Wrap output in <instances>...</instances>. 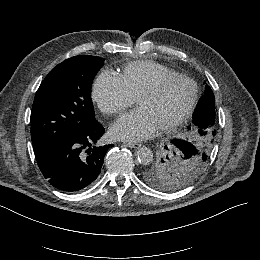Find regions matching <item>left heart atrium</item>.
Segmentation results:
<instances>
[{
	"label": "left heart atrium",
	"mask_w": 260,
	"mask_h": 260,
	"mask_svg": "<svg viewBox=\"0 0 260 260\" xmlns=\"http://www.w3.org/2000/svg\"><path fill=\"white\" fill-rule=\"evenodd\" d=\"M155 128L148 113L143 108L137 107L113 123L110 132L116 139L137 142L149 137Z\"/></svg>",
	"instance_id": "left-heart-atrium-1"
}]
</instances>
